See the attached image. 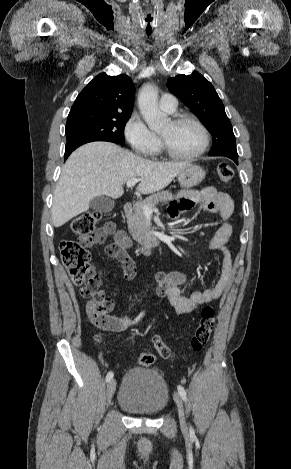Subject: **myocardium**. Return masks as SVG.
Returning <instances> with one entry per match:
<instances>
[{"label": "myocardium", "mask_w": 291, "mask_h": 469, "mask_svg": "<svg viewBox=\"0 0 291 469\" xmlns=\"http://www.w3.org/2000/svg\"><path fill=\"white\" fill-rule=\"evenodd\" d=\"M192 122L195 124L198 129L200 130L202 134V143L200 148L193 154L190 155H179L176 154L171 150V148L168 146L166 140L160 135V143H161V148L164 154H166L168 157L171 159L177 160V161H193L202 156L205 151L207 150L210 142V135L209 131L206 128V126L194 115L191 114H177L175 115L171 122L175 125L180 124L182 122Z\"/></svg>", "instance_id": "obj_1"}]
</instances>
